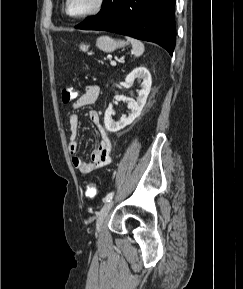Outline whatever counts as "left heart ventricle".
Returning <instances> with one entry per match:
<instances>
[{
	"label": "left heart ventricle",
	"mask_w": 243,
	"mask_h": 289,
	"mask_svg": "<svg viewBox=\"0 0 243 289\" xmlns=\"http://www.w3.org/2000/svg\"><path fill=\"white\" fill-rule=\"evenodd\" d=\"M95 0H71L69 11L77 15L89 11L94 6Z\"/></svg>",
	"instance_id": "1"
}]
</instances>
